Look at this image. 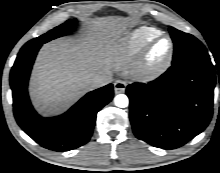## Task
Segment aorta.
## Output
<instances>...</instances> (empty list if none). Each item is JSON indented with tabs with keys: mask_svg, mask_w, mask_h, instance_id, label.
Segmentation results:
<instances>
[{
	"mask_svg": "<svg viewBox=\"0 0 220 173\" xmlns=\"http://www.w3.org/2000/svg\"><path fill=\"white\" fill-rule=\"evenodd\" d=\"M114 103L119 108H125L129 105V99L125 94H119L114 98Z\"/></svg>",
	"mask_w": 220,
	"mask_h": 173,
	"instance_id": "obj_1",
	"label": "aorta"
}]
</instances>
